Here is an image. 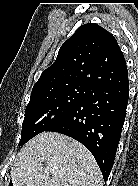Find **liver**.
Returning a JSON list of instances; mask_svg holds the SVG:
<instances>
[{
	"label": "liver",
	"mask_w": 138,
	"mask_h": 186,
	"mask_svg": "<svg viewBox=\"0 0 138 186\" xmlns=\"http://www.w3.org/2000/svg\"><path fill=\"white\" fill-rule=\"evenodd\" d=\"M11 178L14 186H102L103 183L90 151L56 132L40 133L24 145L11 168Z\"/></svg>",
	"instance_id": "obj_1"
}]
</instances>
